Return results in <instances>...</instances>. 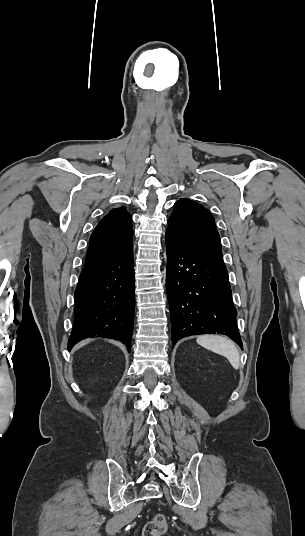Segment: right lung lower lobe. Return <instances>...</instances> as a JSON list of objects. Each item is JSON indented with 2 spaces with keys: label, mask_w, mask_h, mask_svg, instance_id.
Returning a JSON list of instances; mask_svg holds the SVG:
<instances>
[{
  "label": "right lung lower lobe",
  "mask_w": 305,
  "mask_h": 536,
  "mask_svg": "<svg viewBox=\"0 0 305 536\" xmlns=\"http://www.w3.org/2000/svg\"><path fill=\"white\" fill-rule=\"evenodd\" d=\"M134 308L132 248L85 261L75 290L74 326L68 349L84 338L100 336L121 341L130 351Z\"/></svg>",
  "instance_id": "1"
}]
</instances>
